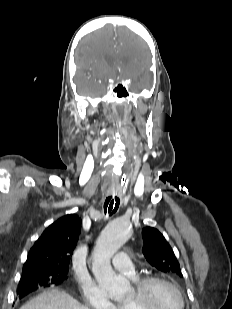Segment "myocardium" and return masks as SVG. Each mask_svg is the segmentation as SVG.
Instances as JSON below:
<instances>
[{
    "instance_id": "1",
    "label": "myocardium",
    "mask_w": 232,
    "mask_h": 309,
    "mask_svg": "<svg viewBox=\"0 0 232 309\" xmlns=\"http://www.w3.org/2000/svg\"><path fill=\"white\" fill-rule=\"evenodd\" d=\"M165 284L177 292L181 300L180 309H185L186 299L180 287L168 278L158 275H146L135 281L133 294L127 299L132 309H154L151 304V289L155 284Z\"/></svg>"
}]
</instances>
